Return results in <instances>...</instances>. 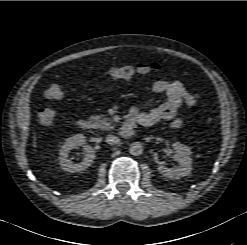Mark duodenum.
Returning <instances> with one entry per match:
<instances>
[{
	"label": "duodenum",
	"instance_id": "obj_1",
	"mask_svg": "<svg viewBox=\"0 0 247 245\" xmlns=\"http://www.w3.org/2000/svg\"><path fill=\"white\" fill-rule=\"evenodd\" d=\"M135 124H136L135 116L133 114H130L126 118L125 122L123 123L122 127L119 130L120 135L122 137H131L134 131ZM78 126L82 130H88L91 128L92 123L88 118H80L78 121Z\"/></svg>",
	"mask_w": 247,
	"mask_h": 245
}]
</instances>
